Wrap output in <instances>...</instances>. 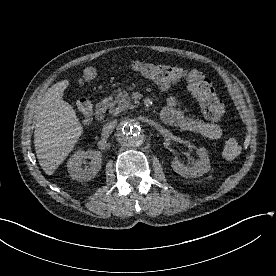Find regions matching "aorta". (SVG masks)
Returning a JSON list of instances; mask_svg holds the SVG:
<instances>
[{"instance_id": "aorta-1", "label": "aorta", "mask_w": 276, "mask_h": 276, "mask_svg": "<svg viewBox=\"0 0 276 276\" xmlns=\"http://www.w3.org/2000/svg\"><path fill=\"white\" fill-rule=\"evenodd\" d=\"M118 136L128 147H138L144 140L140 123L135 119L122 121L118 127Z\"/></svg>"}]
</instances>
